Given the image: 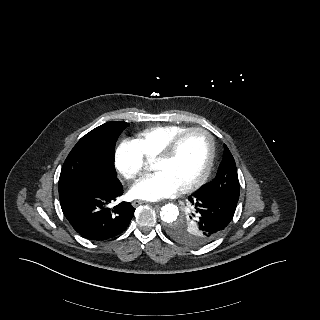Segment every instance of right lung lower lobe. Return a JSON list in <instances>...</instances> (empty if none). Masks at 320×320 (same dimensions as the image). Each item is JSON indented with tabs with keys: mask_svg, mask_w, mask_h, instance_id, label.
<instances>
[{
	"mask_svg": "<svg viewBox=\"0 0 320 320\" xmlns=\"http://www.w3.org/2000/svg\"><path fill=\"white\" fill-rule=\"evenodd\" d=\"M123 194L121 182L90 183L59 189L64 216L82 237L104 241L121 234L129 225L135 209L130 203L109 205Z\"/></svg>",
	"mask_w": 320,
	"mask_h": 320,
	"instance_id": "98d812e1",
	"label": "right lung lower lobe"
}]
</instances>
